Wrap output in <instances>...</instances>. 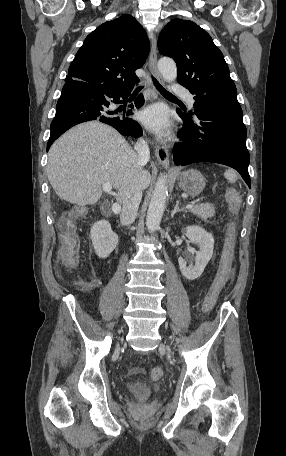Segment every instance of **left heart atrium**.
Masks as SVG:
<instances>
[{
	"mask_svg": "<svg viewBox=\"0 0 286 456\" xmlns=\"http://www.w3.org/2000/svg\"><path fill=\"white\" fill-rule=\"evenodd\" d=\"M140 120L148 129L158 134L166 133L170 125L166 109L161 105H152L144 109L140 114Z\"/></svg>",
	"mask_w": 286,
	"mask_h": 456,
	"instance_id": "39dd6f15",
	"label": "left heart atrium"
}]
</instances>
